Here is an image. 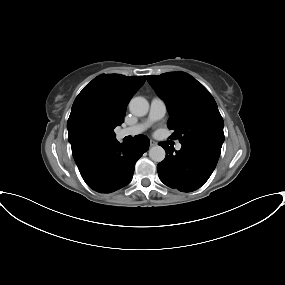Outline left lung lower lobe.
Instances as JSON below:
<instances>
[{
    "label": "left lung lower lobe",
    "instance_id": "left-lung-lower-lobe-1",
    "mask_svg": "<svg viewBox=\"0 0 285 285\" xmlns=\"http://www.w3.org/2000/svg\"><path fill=\"white\" fill-rule=\"evenodd\" d=\"M166 151L165 159L157 165L161 181L182 192L200 188L210 177L221 150L204 145H185L176 151L166 143H159Z\"/></svg>",
    "mask_w": 285,
    "mask_h": 285
}]
</instances>
